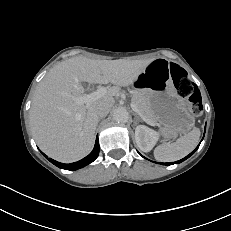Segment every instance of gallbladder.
I'll list each match as a JSON object with an SVG mask.
<instances>
[{
  "instance_id": "1",
  "label": "gallbladder",
  "mask_w": 231,
  "mask_h": 231,
  "mask_svg": "<svg viewBox=\"0 0 231 231\" xmlns=\"http://www.w3.org/2000/svg\"><path fill=\"white\" fill-rule=\"evenodd\" d=\"M84 88H87L89 85L87 83L82 84Z\"/></svg>"
}]
</instances>
